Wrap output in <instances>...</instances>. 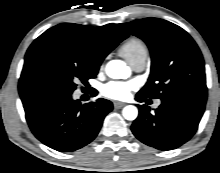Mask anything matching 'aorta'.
Instances as JSON below:
<instances>
[{
    "instance_id": "aorta-1",
    "label": "aorta",
    "mask_w": 220,
    "mask_h": 173,
    "mask_svg": "<svg viewBox=\"0 0 220 173\" xmlns=\"http://www.w3.org/2000/svg\"><path fill=\"white\" fill-rule=\"evenodd\" d=\"M128 73V67L120 60H112L106 66V74L113 79L125 78ZM122 114L126 120L133 121L138 116V109L133 105H128L124 107Z\"/></svg>"
}]
</instances>
